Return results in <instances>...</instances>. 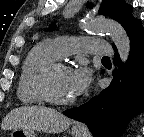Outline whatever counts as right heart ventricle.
Wrapping results in <instances>:
<instances>
[{"label":"right heart ventricle","instance_id":"obj_1","mask_svg":"<svg viewBox=\"0 0 144 137\" xmlns=\"http://www.w3.org/2000/svg\"><path fill=\"white\" fill-rule=\"evenodd\" d=\"M57 58L53 45L49 41L37 44L28 52L17 84V96L22 103L32 105L43 101L36 91L35 78L43 66Z\"/></svg>","mask_w":144,"mask_h":137}]
</instances>
